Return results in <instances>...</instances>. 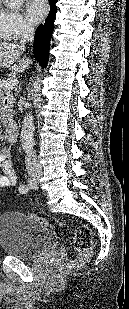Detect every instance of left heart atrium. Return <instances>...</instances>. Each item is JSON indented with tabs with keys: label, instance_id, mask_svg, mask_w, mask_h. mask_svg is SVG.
<instances>
[{
	"label": "left heart atrium",
	"instance_id": "left-heart-atrium-1",
	"mask_svg": "<svg viewBox=\"0 0 129 309\" xmlns=\"http://www.w3.org/2000/svg\"><path fill=\"white\" fill-rule=\"evenodd\" d=\"M48 11L45 0H27L26 13L32 23H39Z\"/></svg>",
	"mask_w": 129,
	"mask_h": 309
}]
</instances>
